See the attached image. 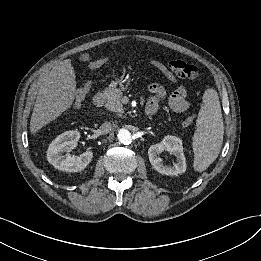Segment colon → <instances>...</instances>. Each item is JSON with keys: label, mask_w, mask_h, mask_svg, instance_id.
I'll return each instance as SVG.
<instances>
[{"label": "colon", "mask_w": 261, "mask_h": 261, "mask_svg": "<svg viewBox=\"0 0 261 261\" xmlns=\"http://www.w3.org/2000/svg\"><path fill=\"white\" fill-rule=\"evenodd\" d=\"M168 69L175 79H195L198 76V69L194 65L187 64L180 60H173L168 63ZM90 89V84H85L78 88L75 93V106L78 107L86 97ZM188 122L192 117L187 118Z\"/></svg>", "instance_id": "1"}]
</instances>
